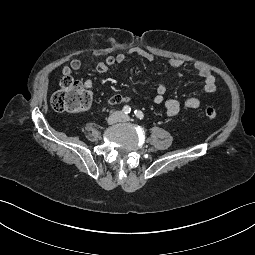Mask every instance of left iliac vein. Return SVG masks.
Returning a JSON list of instances; mask_svg holds the SVG:
<instances>
[{
    "instance_id": "4c4485c4",
    "label": "left iliac vein",
    "mask_w": 255,
    "mask_h": 255,
    "mask_svg": "<svg viewBox=\"0 0 255 255\" xmlns=\"http://www.w3.org/2000/svg\"><path fill=\"white\" fill-rule=\"evenodd\" d=\"M129 120H130V116H128V115H123V116L121 117V120H120V121L125 122V121H129Z\"/></svg>"
}]
</instances>
